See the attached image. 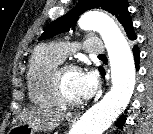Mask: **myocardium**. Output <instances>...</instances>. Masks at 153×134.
<instances>
[{"mask_svg":"<svg viewBox=\"0 0 153 134\" xmlns=\"http://www.w3.org/2000/svg\"><path fill=\"white\" fill-rule=\"evenodd\" d=\"M74 70L80 71V68L77 65L71 63H62L59 64L53 71L52 74V85L54 94L60 104L66 106H77L82 103V100H72L65 96L63 87H62V73L65 70Z\"/></svg>","mask_w":153,"mask_h":134,"instance_id":"1","label":"myocardium"}]
</instances>
